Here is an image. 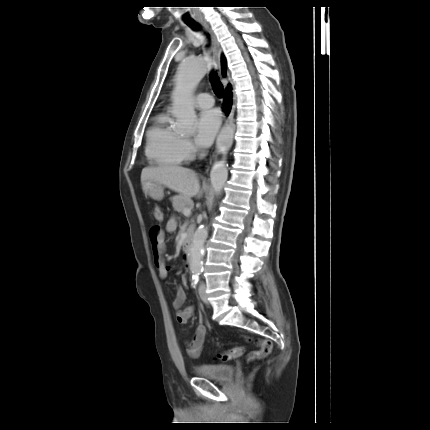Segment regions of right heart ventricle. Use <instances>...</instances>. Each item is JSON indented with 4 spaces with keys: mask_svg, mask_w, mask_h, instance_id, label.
<instances>
[{
    "mask_svg": "<svg viewBox=\"0 0 430 430\" xmlns=\"http://www.w3.org/2000/svg\"><path fill=\"white\" fill-rule=\"evenodd\" d=\"M181 137L170 126L168 114L158 115L146 134L145 154L149 162L162 167L181 165L186 156L181 150Z\"/></svg>",
    "mask_w": 430,
    "mask_h": 430,
    "instance_id": "obj_1",
    "label": "right heart ventricle"
}]
</instances>
